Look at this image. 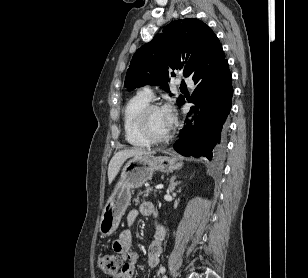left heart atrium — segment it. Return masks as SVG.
Listing matches in <instances>:
<instances>
[{
    "mask_svg": "<svg viewBox=\"0 0 308 278\" xmlns=\"http://www.w3.org/2000/svg\"><path fill=\"white\" fill-rule=\"evenodd\" d=\"M162 115L165 120L167 127L170 129L172 125L175 123L176 114L172 105L167 104L162 109Z\"/></svg>",
    "mask_w": 308,
    "mask_h": 278,
    "instance_id": "1",
    "label": "left heart atrium"
}]
</instances>
